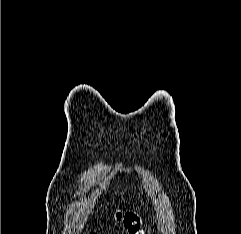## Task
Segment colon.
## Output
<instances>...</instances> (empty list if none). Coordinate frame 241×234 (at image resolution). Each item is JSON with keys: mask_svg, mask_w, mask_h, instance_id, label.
<instances>
[{"mask_svg": "<svg viewBox=\"0 0 241 234\" xmlns=\"http://www.w3.org/2000/svg\"><path fill=\"white\" fill-rule=\"evenodd\" d=\"M116 218L122 222L130 234H147L143 220L140 215L135 212H117Z\"/></svg>", "mask_w": 241, "mask_h": 234, "instance_id": "5ec220e1", "label": "colon"}]
</instances>
